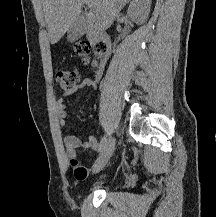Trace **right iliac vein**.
I'll return each instance as SVG.
<instances>
[{"label": "right iliac vein", "instance_id": "obj_1", "mask_svg": "<svg viewBox=\"0 0 216 217\" xmlns=\"http://www.w3.org/2000/svg\"><path fill=\"white\" fill-rule=\"evenodd\" d=\"M115 147V138L112 137L107 142L105 148L102 150L101 154L95 161L93 165V173H98L103 169V167L107 164L110 159Z\"/></svg>", "mask_w": 216, "mask_h": 217}]
</instances>
